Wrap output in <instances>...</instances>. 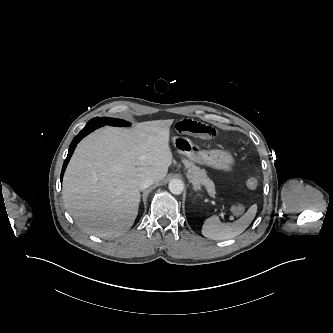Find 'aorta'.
I'll use <instances>...</instances> for the list:
<instances>
[{"instance_id":"obj_1","label":"aorta","mask_w":333,"mask_h":333,"mask_svg":"<svg viewBox=\"0 0 333 333\" xmlns=\"http://www.w3.org/2000/svg\"><path fill=\"white\" fill-rule=\"evenodd\" d=\"M168 187H169V190L171 191V193L179 195L183 192L184 184L179 179H173L169 182Z\"/></svg>"}]
</instances>
